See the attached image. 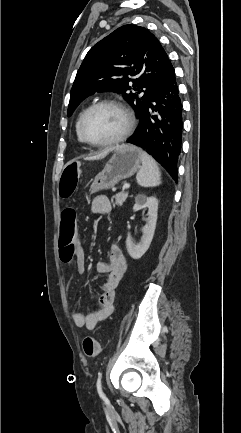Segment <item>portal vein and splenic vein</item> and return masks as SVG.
<instances>
[{"label": "portal vein and splenic vein", "mask_w": 241, "mask_h": 433, "mask_svg": "<svg viewBox=\"0 0 241 433\" xmlns=\"http://www.w3.org/2000/svg\"><path fill=\"white\" fill-rule=\"evenodd\" d=\"M129 187H130V185H129V184H127V183H126V184H124V185H123V190H126V189H128Z\"/></svg>", "instance_id": "1"}]
</instances>
